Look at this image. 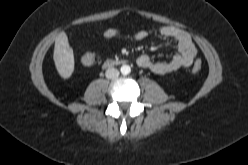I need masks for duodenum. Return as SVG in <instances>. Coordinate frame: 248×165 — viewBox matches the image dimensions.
<instances>
[{
  "mask_svg": "<svg viewBox=\"0 0 248 165\" xmlns=\"http://www.w3.org/2000/svg\"><path fill=\"white\" fill-rule=\"evenodd\" d=\"M117 63L118 61L109 59L104 62V67L110 68V67L115 66Z\"/></svg>",
  "mask_w": 248,
  "mask_h": 165,
  "instance_id": "410a0bca",
  "label": "duodenum"
}]
</instances>
